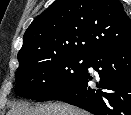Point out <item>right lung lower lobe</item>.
<instances>
[{
    "label": "right lung lower lobe",
    "mask_w": 131,
    "mask_h": 115,
    "mask_svg": "<svg viewBox=\"0 0 131 115\" xmlns=\"http://www.w3.org/2000/svg\"><path fill=\"white\" fill-rule=\"evenodd\" d=\"M88 67L98 72L97 82H91ZM56 100L94 115H131V46L89 58L84 72Z\"/></svg>",
    "instance_id": "1"
}]
</instances>
